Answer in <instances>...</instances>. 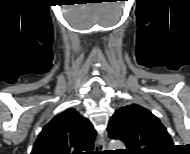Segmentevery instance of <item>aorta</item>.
Segmentation results:
<instances>
[{
	"label": "aorta",
	"mask_w": 190,
	"mask_h": 154,
	"mask_svg": "<svg viewBox=\"0 0 190 154\" xmlns=\"http://www.w3.org/2000/svg\"><path fill=\"white\" fill-rule=\"evenodd\" d=\"M125 149V145L120 140H112L109 143V150Z\"/></svg>",
	"instance_id": "aorta-1"
}]
</instances>
